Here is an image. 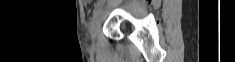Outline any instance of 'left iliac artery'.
Listing matches in <instances>:
<instances>
[{
    "instance_id": "obj_1",
    "label": "left iliac artery",
    "mask_w": 235,
    "mask_h": 62,
    "mask_svg": "<svg viewBox=\"0 0 235 62\" xmlns=\"http://www.w3.org/2000/svg\"><path fill=\"white\" fill-rule=\"evenodd\" d=\"M102 6H103V2H99L96 4L94 11H93V18L100 12Z\"/></svg>"
}]
</instances>
